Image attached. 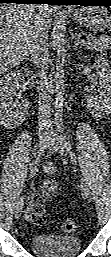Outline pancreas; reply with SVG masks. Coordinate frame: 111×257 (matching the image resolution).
<instances>
[{
	"label": "pancreas",
	"mask_w": 111,
	"mask_h": 257,
	"mask_svg": "<svg viewBox=\"0 0 111 257\" xmlns=\"http://www.w3.org/2000/svg\"><path fill=\"white\" fill-rule=\"evenodd\" d=\"M86 46L90 49H95L101 53H105L110 49L111 45V37L108 36H101V37H88Z\"/></svg>",
	"instance_id": "obj_1"
}]
</instances>
